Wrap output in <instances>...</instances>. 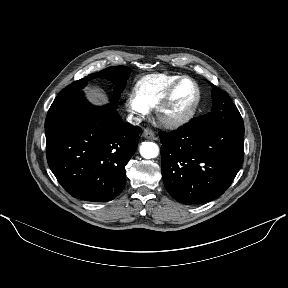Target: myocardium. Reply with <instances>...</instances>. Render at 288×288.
<instances>
[{"mask_svg":"<svg viewBox=\"0 0 288 288\" xmlns=\"http://www.w3.org/2000/svg\"><path fill=\"white\" fill-rule=\"evenodd\" d=\"M184 81H190L195 89V95L192 102L188 105V107L181 112L180 114L169 117L167 116L166 112L171 105L175 93L180 86L181 83ZM201 101V89L198 83L189 76H181L178 78L168 89L162 100L159 102L156 108V115L157 118L160 120L162 124L169 128H180L190 122V120L196 114V111L199 107Z\"/></svg>","mask_w":288,"mask_h":288,"instance_id":"f54148a6","label":"myocardium"}]
</instances>
